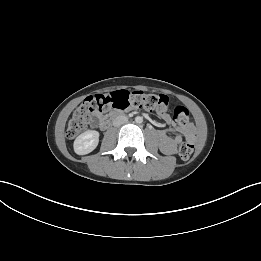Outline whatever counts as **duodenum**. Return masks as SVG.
Masks as SVG:
<instances>
[{"mask_svg":"<svg viewBox=\"0 0 261 261\" xmlns=\"http://www.w3.org/2000/svg\"><path fill=\"white\" fill-rule=\"evenodd\" d=\"M121 117H122V114H120V113H118V112H113V113L111 114V116H110L109 119L104 120V121L101 123V129H103V130L108 129V128L111 126V124H112L113 121H115L116 119H119V118H121Z\"/></svg>","mask_w":261,"mask_h":261,"instance_id":"1","label":"duodenum"}]
</instances>
